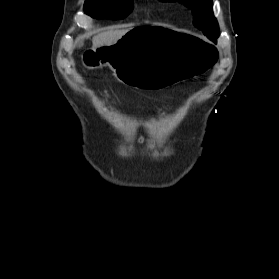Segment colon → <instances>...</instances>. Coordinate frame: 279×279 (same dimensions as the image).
<instances>
[{
    "instance_id": "1",
    "label": "colon",
    "mask_w": 279,
    "mask_h": 279,
    "mask_svg": "<svg viewBox=\"0 0 279 279\" xmlns=\"http://www.w3.org/2000/svg\"><path fill=\"white\" fill-rule=\"evenodd\" d=\"M98 91H99V93H101V94H103V95H108V94H109L108 91H107L106 89L100 88V89H98Z\"/></svg>"
}]
</instances>
